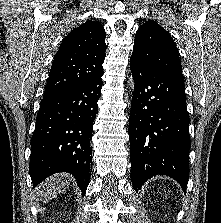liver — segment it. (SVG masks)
I'll use <instances>...</instances> for the list:
<instances>
[{"instance_id":"liver-1","label":"liver","mask_w":221,"mask_h":223,"mask_svg":"<svg viewBox=\"0 0 221 223\" xmlns=\"http://www.w3.org/2000/svg\"><path fill=\"white\" fill-rule=\"evenodd\" d=\"M68 175L55 174L49 177L45 182L41 183L34 191L38 201L49 202L55 198L58 193L65 191L68 187Z\"/></svg>"}]
</instances>
